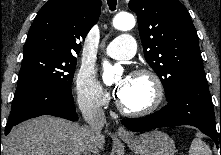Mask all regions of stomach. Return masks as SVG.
<instances>
[{
	"label": "stomach",
	"mask_w": 221,
	"mask_h": 155,
	"mask_svg": "<svg viewBox=\"0 0 221 155\" xmlns=\"http://www.w3.org/2000/svg\"><path fill=\"white\" fill-rule=\"evenodd\" d=\"M121 138L136 155H175L177 152L174 141L159 130Z\"/></svg>",
	"instance_id": "stomach-1"
}]
</instances>
